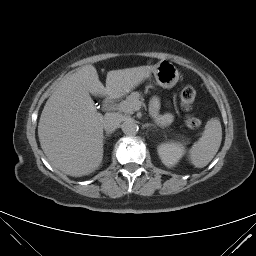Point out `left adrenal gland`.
Returning a JSON list of instances; mask_svg holds the SVG:
<instances>
[{
  "mask_svg": "<svg viewBox=\"0 0 256 256\" xmlns=\"http://www.w3.org/2000/svg\"><path fill=\"white\" fill-rule=\"evenodd\" d=\"M144 127H149V126H153L155 128V126L153 124H145L143 125Z\"/></svg>",
  "mask_w": 256,
  "mask_h": 256,
  "instance_id": "1",
  "label": "left adrenal gland"
}]
</instances>
